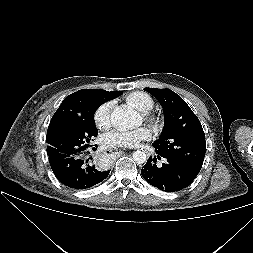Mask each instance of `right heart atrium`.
Listing matches in <instances>:
<instances>
[{
  "label": "right heart atrium",
  "instance_id": "obj_1",
  "mask_svg": "<svg viewBox=\"0 0 253 253\" xmlns=\"http://www.w3.org/2000/svg\"><path fill=\"white\" fill-rule=\"evenodd\" d=\"M113 102L108 101L101 104L95 111L94 121L98 128L104 129L110 124L111 111Z\"/></svg>",
  "mask_w": 253,
  "mask_h": 253
}]
</instances>
